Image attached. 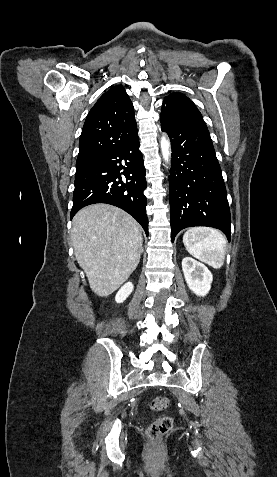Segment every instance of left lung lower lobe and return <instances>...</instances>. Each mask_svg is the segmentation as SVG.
<instances>
[{
	"label": "left lung lower lobe",
	"instance_id": "0a47b994",
	"mask_svg": "<svg viewBox=\"0 0 277 477\" xmlns=\"http://www.w3.org/2000/svg\"><path fill=\"white\" fill-rule=\"evenodd\" d=\"M170 137V223L176 234L192 226L220 229L230 241L227 193L208 129L161 124Z\"/></svg>",
	"mask_w": 277,
	"mask_h": 477
}]
</instances>
